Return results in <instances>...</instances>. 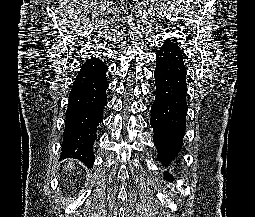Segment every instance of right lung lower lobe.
Returning a JSON list of instances; mask_svg holds the SVG:
<instances>
[{
    "instance_id": "obj_1",
    "label": "right lung lower lobe",
    "mask_w": 255,
    "mask_h": 217,
    "mask_svg": "<svg viewBox=\"0 0 255 217\" xmlns=\"http://www.w3.org/2000/svg\"><path fill=\"white\" fill-rule=\"evenodd\" d=\"M107 70L100 59L87 60L80 67L69 93L62 156L78 159L88 167L94 162L96 130L107 104Z\"/></svg>"
}]
</instances>
